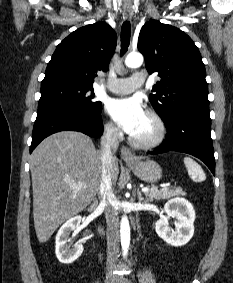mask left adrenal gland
I'll return each instance as SVG.
<instances>
[{"instance_id":"1","label":"left adrenal gland","mask_w":233,"mask_h":283,"mask_svg":"<svg viewBox=\"0 0 233 283\" xmlns=\"http://www.w3.org/2000/svg\"><path fill=\"white\" fill-rule=\"evenodd\" d=\"M137 195H138L139 202H149L148 199L145 200V199L142 197V194H141L139 188H138V190H137Z\"/></svg>"}]
</instances>
